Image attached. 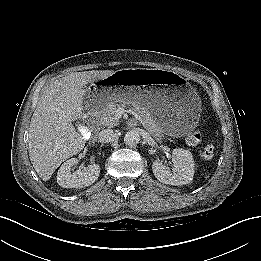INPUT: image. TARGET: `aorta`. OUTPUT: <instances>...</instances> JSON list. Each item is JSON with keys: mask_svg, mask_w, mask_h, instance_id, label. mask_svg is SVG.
I'll return each mask as SVG.
<instances>
[{"mask_svg": "<svg viewBox=\"0 0 261 261\" xmlns=\"http://www.w3.org/2000/svg\"><path fill=\"white\" fill-rule=\"evenodd\" d=\"M141 139L138 130H130L124 136V143L128 146H135L139 143Z\"/></svg>", "mask_w": 261, "mask_h": 261, "instance_id": "aorta-1", "label": "aorta"}]
</instances>
